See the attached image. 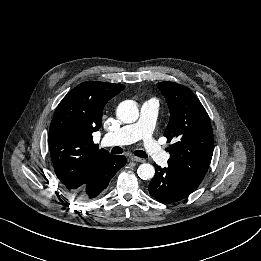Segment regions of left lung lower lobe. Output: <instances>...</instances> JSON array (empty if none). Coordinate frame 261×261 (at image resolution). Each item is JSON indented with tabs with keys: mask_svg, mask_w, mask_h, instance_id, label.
<instances>
[{
	"mask_svg": "<svg viewBox=\"0 0 261 261\" xmlns=\"http://www.w3.org/2000/svg\"><path fill=\"white\" fill-rule=\"evenodd\" d=\"M155 176L149 184V193L163 203H174L189 196L194 190L185 187L169 168L154 164Z\"/></svg>",
	"mask_w": 261,
	"mask_h": 261,
	"instance_id": "obj_1",
	"label": "left lung lower lobe"
}]
</instances>
